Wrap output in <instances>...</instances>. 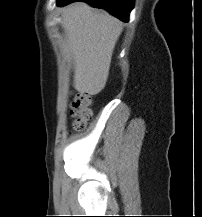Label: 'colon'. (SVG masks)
Listing matches in <instances>:
<instances>
[{"mask_svg": "<svg viewBox=\"0 0 202 217\" xmlns=\"http://www.w3.org/2000/svg\"><path fill=\"white\" fill-rule=\"evenodd\" d=\"M92 98L89 94L78 92L71 103V116L73 117V130L81 131L92 117Z\"/></svg>", "mask_w": 202, "mask_h": 217, "instance_id": "obj_1", "label": "colon"}]
</instances>
